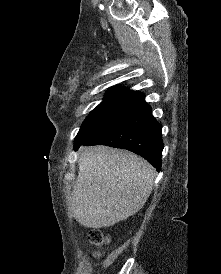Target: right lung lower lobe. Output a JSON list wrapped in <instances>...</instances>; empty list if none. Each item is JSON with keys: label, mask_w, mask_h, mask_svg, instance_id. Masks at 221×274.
<instances>
[{"label": "right lung lower lobe", "mask_w": 221, "mask_h": 274, "mask_svg": "<svg viewBox=\"0 0 221 274\" xmlns=\"http://www.w3.org/2000/svg\"><path fill=\"white\" fill-rule=\"evenodd\" d=\"M162 126L152 116L144 97L132 102L114 121L81 145H107L127 149L161 169ZM80 145L75 146V150Z\"/></svg>", "instance_id": "obj_1"}]
</instances>
